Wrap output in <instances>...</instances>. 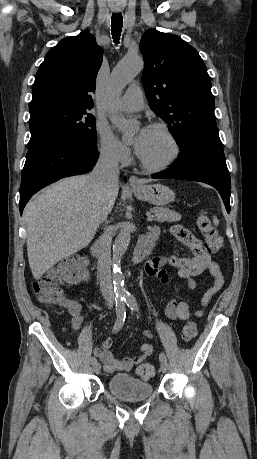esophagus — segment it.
I'll return each mask as SVG.
<instances>
[{
  "label": "esophagus",
  "mask_w": 257,
  "mask_h": 459,
  "mask_svg": "<svg viewBox=\"0 0 257 459\" xmlns=\"http://www.w3.org/2000/svg\"><path fill=\"white\" fill-rule=\"evenodd\" d=\"M129 184L131 186H139L141 185V181L135 175H131L129 178Z\"/></svg>",
  "instance_id": "34e87169"
}]
</instances>
